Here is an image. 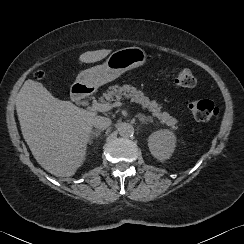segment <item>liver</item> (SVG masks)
Segmentation results:
<instances>
[{
    "mask_svg": "<svg viewBox=\"0 0 244 244\" xmlns=\"http://www.w3.org/2000/svg\"><path fill=\"white\" fill-rule=\"evenodd\" d=\"M111 50L87 51L83 63L105 58ZM16 111L23 138L36 161L57 177H71L82 166L96 112L59 100L39 82L27 80L17 97Z\"/></svg>",
    "mask_w": 244,
    "mask_h": 244,
    "instance_id": "6515ba94",
    "label": "liver"
}]
</instances>
